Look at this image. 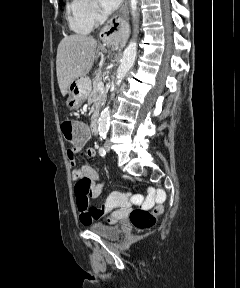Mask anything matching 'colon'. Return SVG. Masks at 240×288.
<instances>
[{"instance_id": "1", "label": "colon", "mask_w": 240, "mask_h": 288, "mask_svg": "<svg viewBox=\"0 0 240 288\" xmlns=\"http://www.w3.org/2000/svg\"><path fill=\"white\" fill-rule=\"evenodd\" d=\"M61 131L65 139L71 143L83 141L86 138V128L83 123L73 119H65L61 123ZM161 213V207L152 210L134 209L130 213V222L135 229L144 231L152 228Z\"/></svg>"}]
</instances>
